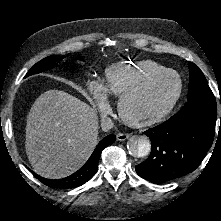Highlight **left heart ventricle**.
I'll return each instance as SVG.
<instances>
[{
	"instance_id": "left-heart-ventricle-1",
	"label": "left heart ventricle",
	"mask_w": 221,
	"mask_h": 221,
	"mask_svg": "<svg viewBox=\"0 0 221 221\" xmlns=\"http://www.w3.org/2000/svg\"><path fill=\"white\" fill-rule=\"evenodd\" d=\"M177 88L178 81L176 76L169 75L158 81L149 91L136 99L132 103L131 109L138 115L153 113L168 103Z\"/></svg>"
}]
</instances>
